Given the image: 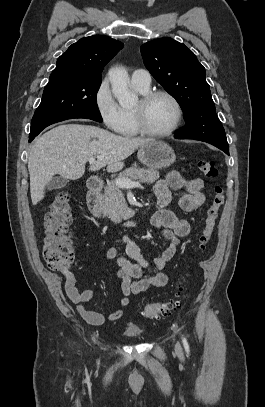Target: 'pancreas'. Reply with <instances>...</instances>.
I'll use <instances>...</instances> for the list:
<instances>
[{
    "mask_svg": "<svg viewBox=\"0 0 265 407\" xmlns=\"http://www.w3.org/2000/svg\"><path fill=\"white\" fill-rule=\"evenodd\" d=\"M119 179L138 180L142 183L152 184L159 179V172L154 169L130 167L121 172L116 179L107 183L104 188V195L100 200V207L104 216H108L115 222L124 219L128 211L123 192L116 185V181Z\"/></svg>",
    "mask_w": 265,
    "mask_h": 407,
    "instance_id": "cf45deb5",
    "label": "pancreas"
}]
</instances>
